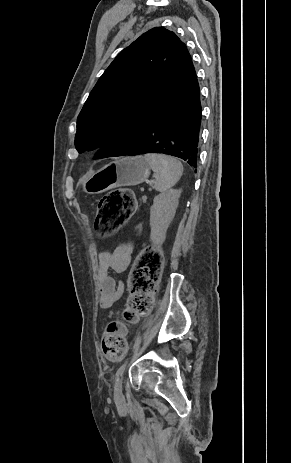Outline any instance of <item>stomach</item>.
<instances>
[{
  "label": "stomach",
  "mask_w": 291,
  "mask_h": 463,
  "mask_svg": "<svg viewBox=\"0 0 291 463\" xmlns=\"http://www.w3.org/2000/svg\"><path fill=\"white\" fill-rule=\"evenodd\" d=\"M149 175L150 166L144 157H125L87 175L83 189L89 194H99L121 186L138 185Z\"/></svg>",
  "instance_id": "obj_1"
}]
</instances>
